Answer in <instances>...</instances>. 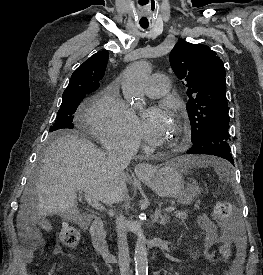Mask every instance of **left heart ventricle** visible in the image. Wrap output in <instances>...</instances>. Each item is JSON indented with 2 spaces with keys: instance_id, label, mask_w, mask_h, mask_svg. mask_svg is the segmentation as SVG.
Returning <instances> with one entry per match:
<instances>
[{
  "instance_id": "b2bd125f",
  "label": "left heart ventricle",
  "mask_w": 263,
  "mask_h": 275,
  "mask_svg": "<svg viewBox=\"0 0 263 275\" xmlns=\"http://www.w3.org/2000/svg\"><path fill=\"white\" fill-rule=\"evenodd\" d=\"M176 135H177V130L175 127V123L171 122L158 143L162 146L168 145L174 141V139L176 138Z\"/></svg>"
}]
</instances>
